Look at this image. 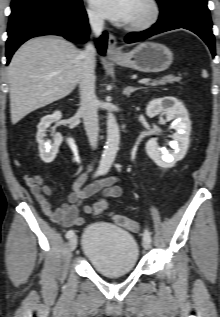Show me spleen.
Wrapping results in <instances>:
<instances>
[{"instance_id":"obj_1","label":"spleen","mask_w":220,"mask_h":317,"mask_svg":"<svg viewBox=\"0 0 220 317\" xmlns=\"http://www.w3.org/2000/svg\"><path fill=\"white\" fill-rule=\"evenodd\" d=\"M203 75H204V76H206V73H205V71H203Z\"/></svg>"}]
</instances>
